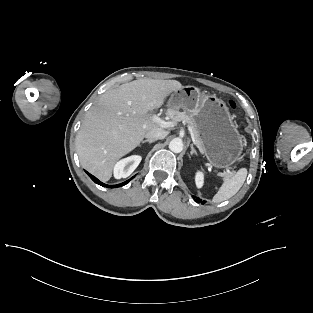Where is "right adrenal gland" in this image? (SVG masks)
Segmentation results:
<instances>
[{
	"label": "right adrenal gland",
	"mask_w": 313,
	"mask_h": 313,
	"mask_svg": "<svg viewBox=\"0 0 313 313\" xmlns=\"http://www.w3.org/2000/svg\"><path fill=\"white\" fill-rule=\"evenodd\" d=\"M154 142V140H144V141H142V144H144V143H149V144H151V143H153Z\"/></svg>",
	"instance_id": "obj_1"
}]
</instances>
